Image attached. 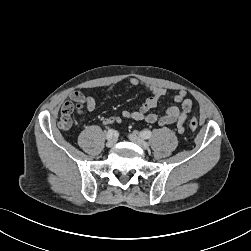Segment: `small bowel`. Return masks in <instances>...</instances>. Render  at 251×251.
I'll return each instance as SVG.
<instances>
[{"mask_svg":"<svg viewBox=\"0 0 251 251\" xmlns=\"http://www.w3.org/2000/svg\"><path fill=\"white\" fill-rule=\"evenodd\" d=\"M128 84L130 86L141 85L146 88L151 95L136 110H125L121 113V116H108L102 118L101 122L103 125L120 123L122 119H131L144 121L150 124L158 123L160 126L176 124L179 133L185 131V122L193 107V103L187 98L185 91L180 90L174 96V101L178 103L179 106H171L164 114L159 115L151 112V110L157 106L160 98L167 94V89L141 82L135 77L128 78ZM70 98L75 102L84 103L89 112H93L96 108L95 98L91 95L84 97L80 92L76 91L71 94Z\"/></svg>","mask_w":251,"mask_h":251,"instance_id":"c3829d8e","label":"small bowel"}]
</instances>
